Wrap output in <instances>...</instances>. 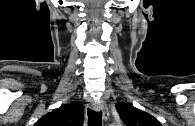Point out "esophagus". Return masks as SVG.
<instances>
[{
  "mask_svg": "<svg viewBox=\"0 0 195 126\" xmlns=\"http://www.w3.org/2000/svg\"><path fill=\"white\" fill-rule=\"evenodd\" d=\"M93 109L97 112H102V116L105 122H108L110 119V114L106 105L102 102H97L93 104Z\"/></svg>",
  "mask_w": 195,
  "mask_h": 126,
  "instance_id": "1",
  "label": "esophagus"
}]
</instances>
